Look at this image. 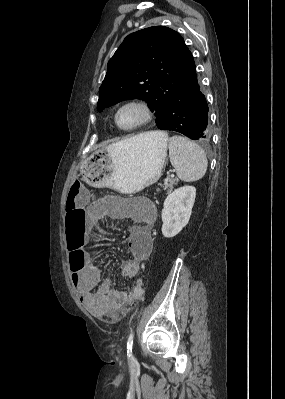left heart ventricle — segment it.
I'll return each instance as SVG.
<instances>
[{
	"label": "left heart ventricle",
	"mask_w": 285,
	"mask_h": 399,
	"mask_svg": "<svg viewBox=\"0 0 285 399\" xmlns=\"http://www.w3.org/2000/svg\"><path fill=\"white\" fill-rule=\"evenodd\" d=\"M143 118L142 111L137 107H128L121 111L118 120L123 127H130Z\"/></svg>",
	"instance_id": "obj_1"
}]
</instances>
